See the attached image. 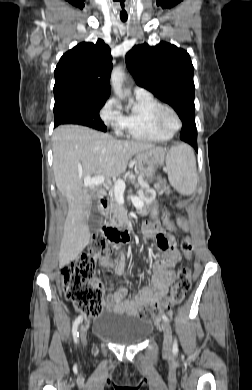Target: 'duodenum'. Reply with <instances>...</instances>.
<instances>
[{
	"label": "duodenum",
	"instance_id": "1",
	"mask_svg": "<svg viewBox=\"0 0 252 390\" xmlns=\"http://www.w3.org/2000/svg\"><path fill=\"white\" fill-rule=\"evenodd\" d=\"M102 206L109 211V201L106 196L101 198ZM105 229H110L114 233V236L111 238L115 244H124L131 240V235L127 230L117 229L113 224L110 227H106Z\"/></svg>",
	"mask_w": 252,
	"mask_h": 390
}]
</instances>
